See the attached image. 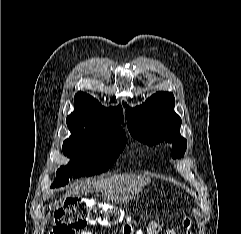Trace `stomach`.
<instances>
[{
  "mask_svg": "<svg viewBox=\"0 0 241 234\" xmlns=\"http://www.w3.org/2000/svg\"><path fill=\"white\" fill-rule=\"evenodd\" d=\"M128 228H129L128 225H125V226H124V230H125V231H126ZM147 231H148V234H157V230H156V228H155V226H154L153 224H150V225H149V228L147 229Z\"/></svg>",
  "mask_w": 241,
  "mask_h": 234,
  "instance_id": "obj_1",
  "label": "stomach"
}]
</instances>
